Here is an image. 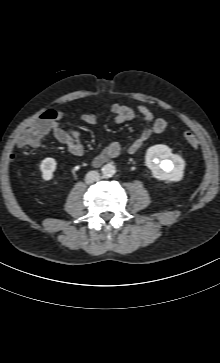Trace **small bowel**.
I'll return each instance as SVG.
<instances>
[{"label":"small bowel","instance_id":"1","mask_svg":"<svg viewBox=\"0 0 220 363\" xmlns=\"http://www.w3.org/2000/svg\"><path fill=\"white\" fill-rule=\"evenodd\" d=\"M110 112L115 116L118 123L130 121L139 115L150 125V127L144 129L139 137L129 145L128 152L130 154L137 153L153 135L162 133L167 127V121L165 119L157 117L150 108L143 105L113 104L110 107ZM62 116V112H58L57 119L52 123L51 130L54 137L64 145L72 155H83L84 146L81 143L79 132L73 128L61 127L57 120L62 118ZM81 118L85 123L90 125L98 123V117L92 113H85ZM18 144L20 147H34L39 143L36 145H28L25 136L23 135ZM121 152V144L118 142H109L106 144L103 151L96 157L95 163L101 164L109 159L116 158Z\"/></svg>","mask_w":220,"mask_h":363}]
</instances>
